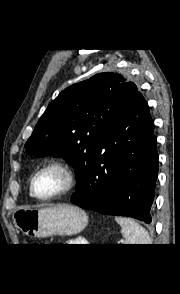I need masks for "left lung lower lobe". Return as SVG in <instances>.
<instances>
[{"mask_svg":"<svg viewBox=\"0 0 180 294\" xmlns=\"http://www.w3.org/2000/svg\"><path fill=\"white\" fill-rule=\"evenodd\" d=\"M153 128L148 104L139 92L101 142L70 201L102 214L150 223L158 173Z\"/></svg>","mask_w":180,"mask_h":294,"instance_id":"obj_1","label":"left lung lower lobe"}]
</instances>
